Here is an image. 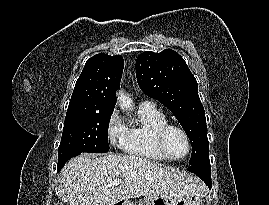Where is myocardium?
<instances>
[{"mask_svg":"<svg viewBox=\"0 0 269 205\" xmlns=\"http://www.w3.org/2000/svg\"><path fill=\"white\" fill-rule=\"evenodd\" d=\"M170 130L179 131L184 136V138L186 140L187 152L182 157H174L167 150L166 137H167V134L169 133ZM154 143H155V146H156L158 152L164 158H166L167 160H170V161L184 160L190 155V153L192 151V142H191V139H190L188 132L182 126H180L178 124H174V123L167 122V123L159 126L155 132V135H154Z\"/></svg>","mask_w":269,"mask_h":205,"instance_id":"obj_1","label":"myocardium"}]
</instances>
